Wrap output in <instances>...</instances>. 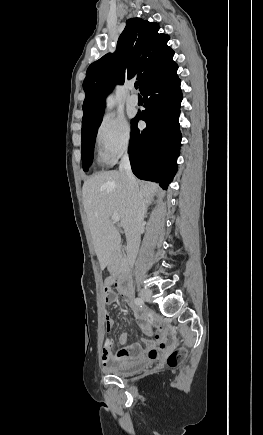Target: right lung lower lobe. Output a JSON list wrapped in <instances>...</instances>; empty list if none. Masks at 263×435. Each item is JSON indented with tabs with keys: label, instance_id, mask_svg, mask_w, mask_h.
<instances>
[{
	"label": "right lung lower lobe",
	"instance_id": "right-lung-lower-lobe-1",
	"mask_svg": "<svg viewBox=\"0 0 263 435\" xmlns=\"http://www.w3.org/2000/svg\"><path fill=\"white\" fill-rule=\"evenodd\" d=\"M178 66L174 63L152 80L141 92L146 108L132 120L129 158L133 173L140 179L154 181L167 189L177 171L181 142L179 129L182 93ZM139 120L146 128H137Z\"/></svg>",
	"mask_w": 263,
	"mask_h": 435
}]
</instances>
